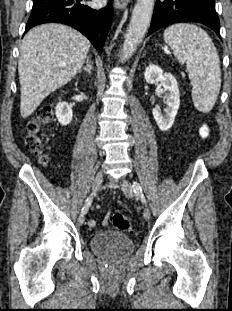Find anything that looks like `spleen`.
Instances as JSON below:
<instances>
[{
	"mask_svg": "<svg viewBox=\"0 0 232 311\" xmlns=\"http://www.w3.org/2000/svg\"><path fill=\"white\" fill-rule=\"evenodd\" d=\"M163 36L177 60L186 63L196 109L209 112L221 87L220 60L211 38L203 29L189 23L168 27Z\"/></svg>",
	"mask_w": 232,
	"mask_h": 311,
	"instance_id": "obj_1",
	"label": "spleen"
}]
</instances>
